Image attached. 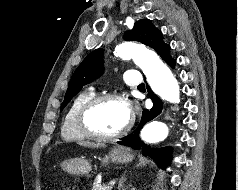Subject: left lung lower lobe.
<instances>
[{"instance_id": "left-lung-lower-lobe-1", "label": "left lung lower lobe", "mask_w": 238, "mask_h": 190, "mask_svg": "<svg viewBox=\"0 0 238 190\" xmlns=\"http://www.w3.org/2000/svg\"><path fill=\"white\" fill-rule=\"evenodd\" d=\"M167 64L174 68L176 61L171 58L168 54L163 58ZM150 97L153 100L154 106L150 110H143L142 118L137 129L126 138H123L121 141L117 142L120 145L128 146L134 149H142L144 155H148L153 158L162 168H166L167 164L170 161L171 149L170 148H160L152 149L150 146H147L144 142L139 139V130L146 123L154 119L162 111L163 104L162 101L155 96L152 92L149 93Z\"/></svg>"}]
</instances>
